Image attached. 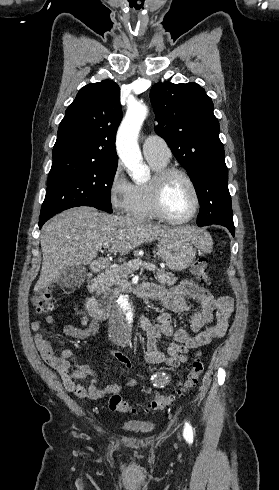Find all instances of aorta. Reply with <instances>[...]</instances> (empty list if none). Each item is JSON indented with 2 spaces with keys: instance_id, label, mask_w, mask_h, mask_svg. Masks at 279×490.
I'll use <instances>...</instances> for the list:
<instances>
[{
  "instance_id": "aorta-1",
  "label": "aorta",
  "mask_w": 279,
  "mask_h": 490,
  "mask_svg": "<svg viewBox=\"0 0 279 490\" xmlns=\"http://www.w3.org/2000/svg\"><path fill=\"white\" fill-rule=\"evenodd\" d=\"M147 113L148 109L144 104L132 103L126 111L116 136L117 153L137 180L143 179L147 173V166L143 164L137 142L139 131ZM133 321L134 313L129 296L119 295L113 300L109 319V331L114 341L122 345L128 344Z\"/></svg>"
}]
</instances>
